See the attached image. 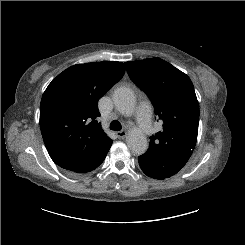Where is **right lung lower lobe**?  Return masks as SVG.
Here are the masks:
<instances>
[{
	"label": "right lung lower lobe",
	"mask_w": 245,
	"mask_h": 245,
	"mask_svg": "<svg viewBox=\"0 0 245 245\" xmlns=\"http://www.w3.org/2000/svg\"><path fill=\"white\" fill-rule=\"evenodd\" d=\"M112 142V140L107 142L85 164L70 172L73 174H84L97 168L105 159Z\"/></svg>",
	"instance_id": "98d812e1"
}]
</instances>
